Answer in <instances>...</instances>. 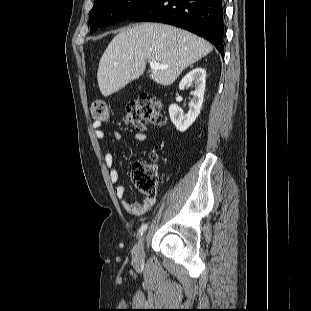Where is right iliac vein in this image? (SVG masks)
I'll list each match as a JSON object with an SVG mask.
<instances>
[{"instance_id": "1", "label": "right iliac vein", "mask_w": 311, "mask_h": 311, "mask_svg": "<svg viewBox=\"0 0 311 311\" xmlns=\"http://www.w3.org/2000/svg\"><path fill=\"white\" fill-rule=\"evenodd\" d=\"M144 259V237H141L133 249V260L136 265H141Z\"/></svg>"}]
</instances>
